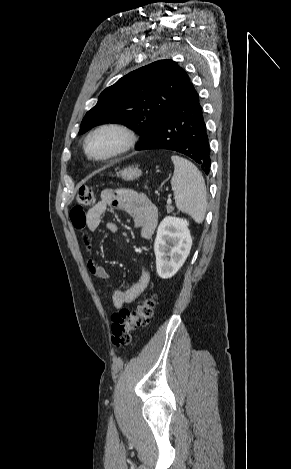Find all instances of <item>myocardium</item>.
<instances>
[{"label": "myocardium", "instance_id": "myocardium-1", "mask_svg": "<svg viewBox=\"0 0 291 469\" xmlns=\"http://www.w3.org/2000/svg\"><path fill=\"white\" fill-rule=\"evenodd\" d=\"M106 130L117 132L120 135V143L116 149L105 156H93L88 150L89 140L95 134ZM135 143V133L128 126L119 122H107L96 126L86 135L83 143V150L88 159L97 162H106L126 153L135 145Z\"/></svg>", "mask_w": 291, "mask_h": 469}]
</instances>
